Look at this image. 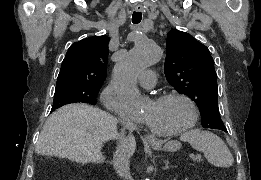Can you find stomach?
<instances>
[{"mask_svg": "<svg viewBox=\"0 0 261 180\" xmlns=\"http://www.w3.org/2000/svg\"><path fill=\"white\" fill-rule=\"evenodd\" d=\"M180 147V144L177 141H169L164 145V150L168 152L177 151Z\"/></svg>", "mask_w": 261, "mask_h": 180, "instance_id": "0dacf381", "label": "stomach"}]
</instances>
